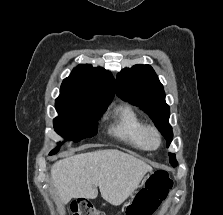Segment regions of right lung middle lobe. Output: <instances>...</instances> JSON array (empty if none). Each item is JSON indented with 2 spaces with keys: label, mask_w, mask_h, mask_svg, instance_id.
Returning a JSON list of instances; mask_svg holds the SVG:
<instances>
[{
  "label": "right lung middle lobe",
  "mask_w": 223,
  "mask_h": 215,
  "mask_svg": "<svg viewBox=\"0 0 223 215\" xmlns=\"http://www.w3.org/2000/svg\"><path fill=\"white\" fill-rule=\"evenodd\" d=\"M59 114L53 120L54 130L66 140L78 142L84 138H90L97 133V121L106 110L95 107H57ZM59 146L50 152L53 155L58 152Z\"/></svg>",
  "instance_id": "1"
}]
</instances>
